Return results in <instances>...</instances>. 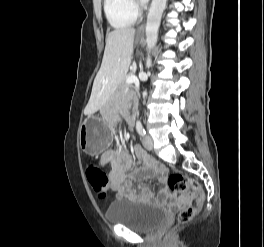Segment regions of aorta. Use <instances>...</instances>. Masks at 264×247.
Segmentation results:
<instances>
[{
  "label": "aorta",
  "mask_w": 264,
  "mask_h": 247,
  "mask_svg": "<svg viewBox=\"0 0 264 247\" xmlns=\"http://www.w3.org/2000/svg\"><path fill=\"white\" fill-rule=\"evenodd\" d=\"M167 0H152L145 27L146 43L148 51V60L150 51L155 47L158 38V29L160 26L162 14L165 10Z\"/></svg>",
  "instance_id": "aorta-1"
}]
</instances>
